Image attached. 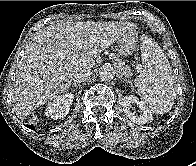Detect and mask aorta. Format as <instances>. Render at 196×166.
I'll return each instance as SVG.
<instances>
[{
	"instance_id": "762f6f07",
	"label": "aorta",
	"mask_w": 196,
	"mask_h": 166,
	"mask_svg": "<svg viewBox=\"0 0 196 166\" xmlns=\"http://www.w3.org/2000/svg\"><path fill=\"white\" fill-rule=\"evenodd\" d=\"M99 77L102 81H111L115 77V70L114 68L109 65H103L99 70Z\"/></svg>"
}]
</instances>
